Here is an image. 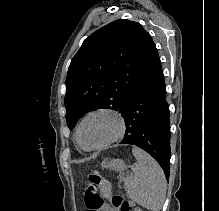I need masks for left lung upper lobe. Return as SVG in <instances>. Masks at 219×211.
Wrapping results in <instances>:
<instances>
[{
    "instance_id": "1",
    "label": "left lung upper lobe",
    "mask_w": 219,
    "mask_h": 211,
    "mask_svg": "<svg viewBox=\"0 0 219 211\" xmlns=\"http://www.w3.org/2000/svg\"><path fill=\"white\" fill-rule=\"evenodd\" d=\"M161 63L154 42L137 22L119 19L86 38L66 78V120L72 130L96 109L124 115L132 94Z\"/></svg>"
}]
</instances>
